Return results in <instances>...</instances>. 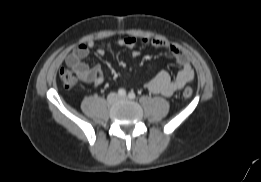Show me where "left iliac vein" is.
I'll return each instance as SVG.
<instances>
[{
    "instance_id": "1",
    "label": "left iliac vein",
    "mask_w": 261,
    "mask_h": 182,
    "mask_svg": "<svg viewBox=\"0 0 261 182\" xmlns=\"http://www.w3.org/2000/svg\"><path fill=\"white\" fill-rule=\"evenodd\" d=\"M119 99H120V100L126 99V96H124V97H119Z\"/></svg>"
}]
</instances>
